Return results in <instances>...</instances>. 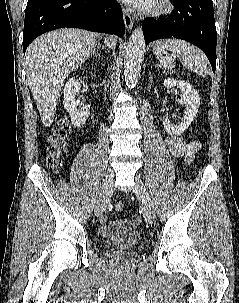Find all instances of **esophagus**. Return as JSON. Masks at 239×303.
<instances>
[{
  "instance_id": "34e87169",
  "label": "esophagus",
  "mask_w": 239,
  "mask_h": 303,
  "mask_svg": "<svg viewBox=\"0 0 239 303\" xmlns=\"http://www.w3.org/2000/svg\"><path fill=\"white\" fill-rule=\"evenodd\" d=\"M123 20L126 28L128 30H131L133 27V18L131 17V15L128 13L126 9H123Z\"/></svg>"
}]
</instances>
